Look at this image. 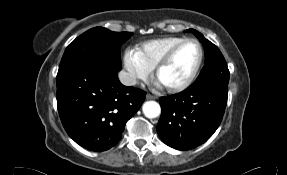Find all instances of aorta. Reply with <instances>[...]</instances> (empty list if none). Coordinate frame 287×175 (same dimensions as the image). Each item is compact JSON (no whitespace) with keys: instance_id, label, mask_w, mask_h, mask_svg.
I'll return each instance as SVG.
<instances>
[{"instance_id":"obj_1","label":"aorta","mask_w":287,"mask_h":175,"mask_svg":"<svg viewBox=\"0 0 287 175\" xmlns=\"http://www.w3.org/2000/svg\"><path fill=\"white\" fill-rule=\"evenodd\" d=\"M143 113L147 118H156L161 113L160 105L156 101H147L142 107Z\"/></svg>"}]
</instances>
